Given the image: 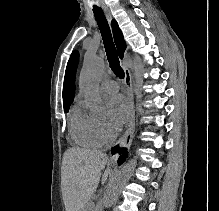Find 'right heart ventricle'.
<instances>
[{
  "label": "right heart ventricle",
  "mask_w": 219,
  "mask_h": 211,
  "mask_svg": "<svg viewBox=\"0 0 219 211\" xmlns=\"http://www.w3.org/2000/svg\"><path fill=\"white\" fill-rule=\"evenodd\" d=\"M97 123L96 118L76 106L73 108L70 118V134L82 146L98 147L102 143L98 134Z\"/></svg>",
  "instance_id": "right-heart-ventricle-1"
}]
</instances>
